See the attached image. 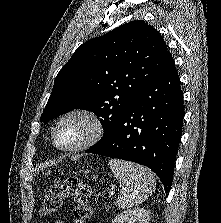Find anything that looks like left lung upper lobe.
I'll list each match as a JSON object with an SVG mask.
<instances>
[{
  "label": "left lung upper lobe",
  "mask_w": 221,
  "mask_h": 223,
  "mask_svg": "<svg viewBox=\"0 0 221 223\" xmlns=\"http://www.w3.org/2000/svg\"><path fill=\"white\" fill-rule=\"evenodd\" d=\"M168 53L161 34L144 21L83 43L58 73L40 121L73 109L89 110L101 117L104 140L159 73Z\"/></svg>",
  "instance_id": "5c2ea615"
}]
</instances>
